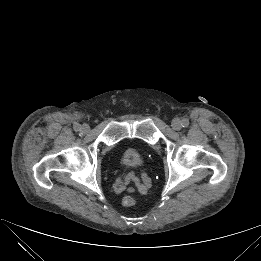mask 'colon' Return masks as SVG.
Instances as JSON below:
<instances>
[{"label":"colon","mask_w":261,"mask_h":261,"mask_svg":"<svg viewBox=\"0 0 261 261\" xmlns=\"http://www.w3.org/2000/svg\"><path fill=\"white\" fill-rule=\"evenodd\" d=\"M122 203L126 207H131L136 204V199L135 197L128 195L123 198Z\"/></svg>","instance_id":"1"}]
</instances>
